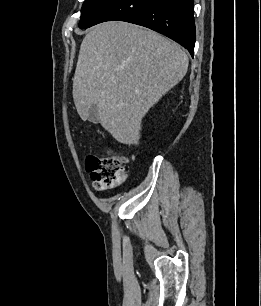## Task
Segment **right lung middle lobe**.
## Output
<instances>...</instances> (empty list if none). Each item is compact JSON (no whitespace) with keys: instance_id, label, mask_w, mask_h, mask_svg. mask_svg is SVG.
<instances>
[{"instance_id":"1","label":"right lung middle lobe","mask_w":261,"mask_h":306,"mask_svg":"<svg viewBox=\"0 0 261 306\" xmlns=\"http://www.w3.org/2000/svg\"><path fill=\"white\" fill-rule=\"evenodd\" d=\"M114 0H85L81 9L79 27H87Z\"/></svg>"}]
</instances>
